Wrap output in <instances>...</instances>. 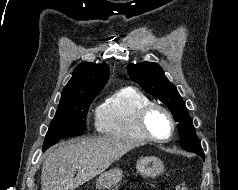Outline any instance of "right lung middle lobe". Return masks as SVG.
<instances>
[{"label": "right lung middle lobe", "instance_id": "1", "mask_svg": "<svg viewBox=\"0 0 238 190\" xmlns=\"http://www.w3.org/2000/svg\"><path fill=\"white\" fill-rule=\"evenodd\" d=\"M98 94H85L60 103L46 134L43 151L56 144L61 138L79 134L86 130L85 118L92 100Z\"/></svg>", "mask_w": 238, "mask_h": 190}]
</instances>
